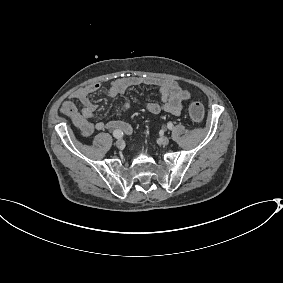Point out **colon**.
Wrapping results in <instances>:
<instances>
[{
    "label": "colon",
    "mask_w": 283,
    "mask_h": 283,
    "mask_svg": "<svg viewBox=\"0 0 283 283\" xmlns=\"http://www.w3.org/2000/svg\"><path fill=\"white\" fill-rule=\"evenodd\" d=\"M188 112L194 121L199 122L204 118L205 109L202 103L193 101L189 104Z\"/></svg>",
    "instance_id": "1"
}]
</instances>
